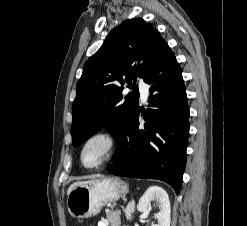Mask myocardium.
I'll return each mask as SVG.
<instances>
[{"mask_svg": "<svg viewBox=\"0 0 247 226\" xmlns=\"http://www.w3.org/2000/svg\"><path fill=\"white\" fill-rule=\"evenodd\" d=\"M102 141L104 143V151L100 158L93 164H86L84 161V153L86 148L90 143L93 141ZM118 141L116 136L109 130L101 129L96 130L92 133H90L82 142L80 151H79V160L80 163L85 167L89 169H94L102 166L105 164L108 160L112 158L114 155L116 149H117Z\"/></svg>", "mask_w": 247, "mask_h": 226, "instance_id": "myocardium-1", "label": "myocardium"}]
</instances>
